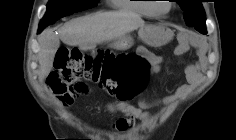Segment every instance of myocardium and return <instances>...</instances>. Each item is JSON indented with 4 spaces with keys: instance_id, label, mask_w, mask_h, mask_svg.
Segmentation results:
<instances>
[{
    "instance_id": "1",
    "label": "myocardium",
    "mask_w": 236,
    "mask_h": 140,
    "mask_svg": "<svg viewBox=\"0 0 236 140\" xmlns=\"http://www.w3.org/2000/svg\"><path fill=\"white\" fill-rule=\"evenodd\" d=\"M172 9H173L172 3H169V8L165 12L160 11L157 4L152 5V10L155 16L160 17V18L166 17L171 12Z\"/></svg>"
}]
</instances>
